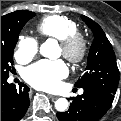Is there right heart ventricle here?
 <instances>
[{
  "instance_id": "1",
  "label": "right heart ventricle",
  "mask_w": 121,
  "mask_h": 121,
  "mask_svg": "<svg viewBox=\"0 0 121 121\" xmlns=\"http://www.w3.org/2000/svg\"><path fill=\"white\" fill-rule=\"evenodd\" d=\"M37 30L43 36L62 40L68 35L78 32L76 21L63 15H50L44 17L38 24Z\"/></svg>"
}]
</instances>
